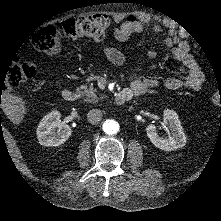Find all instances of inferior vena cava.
Instances as JSON below:
<instances>
[{
    "label": "inferior vena cava",
    "instance_id": "obj_1",
    "mask_svg": "<svg viewBox=\"0 0 221 221\" xmlns=\"http://www.w3.org/2000/svg\"><path fill=\"white\" fill-rule=\"evenodd\" d=\"M103 117V113L100 109H91L87 114V120L90 124H98Z\"/></svg>",
    "mask_w": 221,
    "mask_h": 221
}]
</instances>
